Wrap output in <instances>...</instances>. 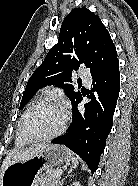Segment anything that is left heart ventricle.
I'll use <instances>...</instances> for the list:
<instances>
[{"instance_id": "left-heart-ventricle-1", "label": "left heart ventricle", "mask_w": 138, "mask_h": 186, "mask_svg": "<svg viewBox=\"0 0 138 186\" xmlns=\"http://www.w3.org/2000/svg\"><path fill=\"white\" fill-rule=\"evenodd\" d=\"M64 110L56 105H44L34 109L24 123L25 132L32 137L50 135L61 128Z\"/></svg>"}]
</instances>
